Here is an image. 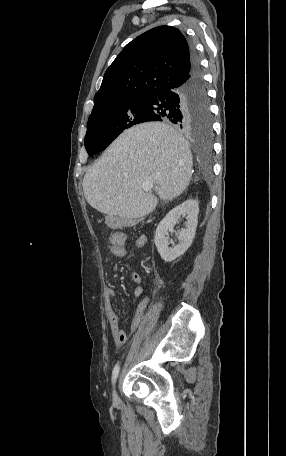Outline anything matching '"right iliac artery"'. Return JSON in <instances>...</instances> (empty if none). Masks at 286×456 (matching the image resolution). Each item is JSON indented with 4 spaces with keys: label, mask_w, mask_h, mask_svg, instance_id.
I'll list each match as a JSON object with an SVG mask.
<instances>
[{
    "label": "right iliac artery",
    "mask_w": 286,
    "mask_h": 456,
    "mask_svg": "<svg viewBox=\"0 0 286 456\" xmlns=\"http://www.w3.org/2000/svg\"><path fill=\"white\" fill-rule=\"evenodd\" d=\"M118 374H119V366L116 365L113 369V372H112V381L113 383H115L117 377H118Z\"/></svg>",
    "instance_id": "obj_1"
}]
</instances>
